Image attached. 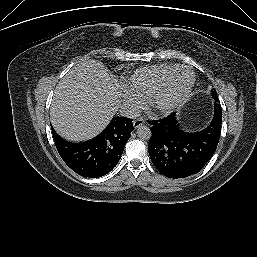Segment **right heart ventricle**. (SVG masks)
I'll return each mask as SVG.
<instances>
[{
	"label": "right heart ventricle",
	"instance_id": "e07e8e85",
	"mask_svg": "<svg viewBox=\"0 0 257 257\" xmlns=\"http://www.w3.org/2000/svg\"><path fill=\"white\" fill-rule=\"evenodd\" d=\"M174 67L165 63L140 68L126 79L125 86L141 99H149L161 78Z\"/></svg>",
	"mask_w": 257,
	"mask_h": 257
}]
</instances>
